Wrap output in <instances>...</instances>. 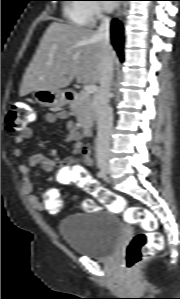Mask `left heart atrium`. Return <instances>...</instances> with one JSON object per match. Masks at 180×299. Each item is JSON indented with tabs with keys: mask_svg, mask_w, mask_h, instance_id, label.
<instances>
[{
	"mask_svg": "<svg viewBox=\"0 0 180 299\" xmlns=\"http://www.w3.org/2000/svg\"><path fill=\"white\" fill-rule=\"evenodd\" d=\"M114 6H115V4H107V8H108V9H113Z\"/></svg>",
	"mask_w": 180,
	"mask_h": 299,
	"instance_id": "1",
	"label": "left heart atrium"
}]
</instances>
